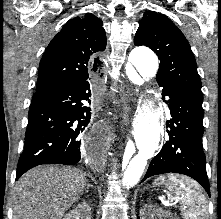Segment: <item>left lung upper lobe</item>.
Masks as SVG:
<instances>
[{
  "label": "left lung upper lobe",
  "instance_id": "5c2ea615",
  "mask_svg": "<svg viewBox=\"0 0 221 219\" xmlns=\"http://www.w3.org/2000/svg\"><path fill=\"white\" fill-rule=\"evenodd\" d=\"M134 44L152 49L160 60L157 82L203 102L201 80L191 47L183 33L167 16L146 12L139 22Z\"/></svg>",
  "mask_w": 221,
  "mask_h": 219
}]
</instances>
